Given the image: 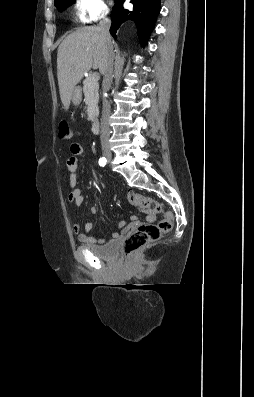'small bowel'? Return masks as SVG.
Returning a JSON list of instances; mask_svg holds the SVG:
<instances>
[{
	"instance_id": "obj_1",
	"label": "small bowel",
	"mask_w": 254,
	"mask_h": 397,
	"mask_svg": "<svg viewBox=\"0 0 254 397\" xmlns=\"http://www.w3.org/2000/svg\"><path fill=\"white\" fill-rule=\"evenodd\" d=\"M71 156L67 161V167L70 172L69 175V185L71 187V191L68 195V200L73 203L75 206L79 207L82 205L84 201V196L82 191L77 187L78 183V157L84 153L83 147L78 143H72L70 145ZM98 209L95 206L90 208V213L92 215L97 214ZM149 221H154L155 217L153 215L148 216ZM131 224L126 226L125 222L121 221L118 224V230L113 232V238H118L121 232H127L133 229L138 224V219L135 216L131 217ZM93 229V222L87 221L84 225V232H81V226L78 223H73L72 230L78 236V240L86 245H95L98 243H103L104 240L96 237H92L89 235L91 230Z\"/></svg>"
}]
</instances>
